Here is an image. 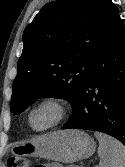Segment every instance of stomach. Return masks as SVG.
I'll list each match as a JSON object with an SVG mask.
<instances>
[{
	"instance_id": "stomach-1",
	"label": "stomach",
	"mask_w": 125,
	"mask_h": 167,
	"mask_svg": "<svg viewBox=\"0 0 125 167\" xmlns=\"http://www.w3.org/2000/svg\"><path fill=\"white\" fill-rule=\"evenodd\" d=\"M93 138L80 130H58L15 146V153L54 162L73 163L93 155Z\"/></svg>"
}]
</instances>
